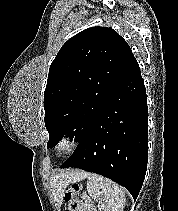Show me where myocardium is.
<instances>
[{
  "label": "myocardium",
  "instance_id": "myocardium-1",
  "mask_svg": "<svg viewBox=\"0 0 178 211\" xmlns=\"http://www.w3.org/2000/svg\"><path fill=\"white\" fill-rule=\"evenodd\" d=\"M77 141L75 136L70 133H65L59 137L55 144V151L60 154H68L75 149Z\"/></svg>",
  "mask_w": 178,
  "mask_h": 211
}]
</instances>
